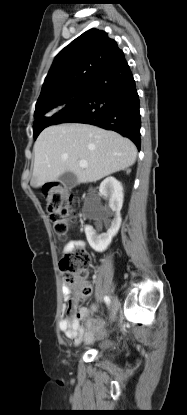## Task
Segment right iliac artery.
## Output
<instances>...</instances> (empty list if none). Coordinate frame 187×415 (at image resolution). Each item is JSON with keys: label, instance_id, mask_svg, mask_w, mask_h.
Returning a JSON list of instances; mask_svg holds the SVG:
<instances>
[{"label": "right iliac artery", "instance_id": "obj_1", "mask_svg": "<svg viewBox=\"0 0 187 415\" xmlns=\"http://www.w3.org/2000/svg\"><path fill=\"white\" fill-rule=\"evenodd\" d=\"M104 301L108 306L110 305V298L108 296L104 297Z\"/></svg>", "mask_w": 187, "mask_h": 415}]
</instances>
